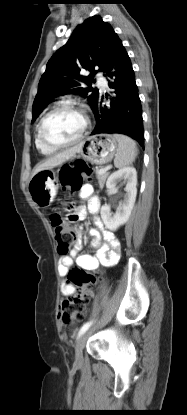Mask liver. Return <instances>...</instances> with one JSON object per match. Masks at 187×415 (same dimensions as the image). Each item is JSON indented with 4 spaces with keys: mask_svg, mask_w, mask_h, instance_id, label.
Returning <instances> with one entry per match:
<instances>
[{
    "mask_svg": "<svg viewBox=\"0 0 187 415\" xmlns=\"http://www.w3.org/2000/svg\"><path fill=\"white\" fill-rule=\"evenodd\" d=\"M82 148V143H80L79 145H76L74 147H71L69 149H66L52 157H49L48 159H46L43 163L39 164L34 172L33 175H35L36 173L43 171V170H47V169H52L62 163H64L66 160L70 159L71 157L75 156L76 153H79L81 151Z\"/></svg>",
    "mask_w": 187,
    "mask_h": 415,
    "instance_id": "liver-1",
    "label": "liver"
}]
</instances>
